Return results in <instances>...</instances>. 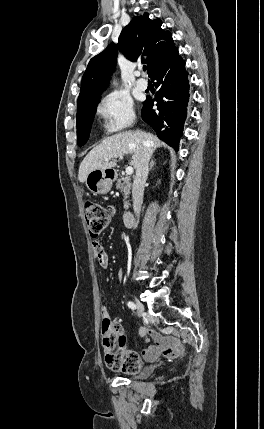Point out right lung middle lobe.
<instances>
[{"instance_id": "obj_1", "label": "right lung middle lobe", "mask_w": 264, "mask_h": 429, "mask_svg": "<svg viewBox=\"0 0 264 429\" xmlns=\"http://www.w3.org/2000/svg\"><path fill=\"white\" fill-rule=\"evenodd\" d=\"M99 98L87 104L78 106L77 108V141L78 145L83 146L90 134V129Z\"/></svg>"}]
</instances>
